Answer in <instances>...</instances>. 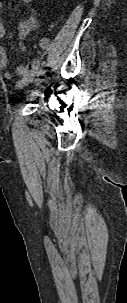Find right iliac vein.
Instances as JSON below:
<instances>
[{"label": "right iliac vein", "instance_id": "right-iliac-vein-1", "mask_svg": "<svg viewBox=\"0 0 127 303\" xmlns=\"http://www.w3.org/2000/svg\"><path fill=\"white\" fill-rule=\"evenodd\" d=\"M47 76L46 74H41L37 80H36V84H40L41 82H43L44 80H46Z\"/></svg>", "mask_w": 127, "mask_h": 303}]
</instances>
